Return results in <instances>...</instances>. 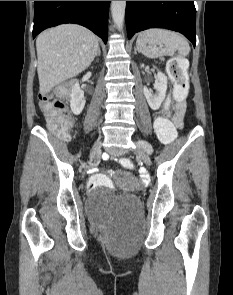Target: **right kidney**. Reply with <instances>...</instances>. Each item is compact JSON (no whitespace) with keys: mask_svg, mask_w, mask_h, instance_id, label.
<instances>
[{"mask_svg":"<svg viewBox=\"0 0 233 295\" xmlns=\"http://www.w3.org/2000/svg\"><path fill=\"white\" fill-rule=\"evenodd\" d=\"M85 103L84 92L81 90L79 83L76 82L72 86L70 93V108L73 114L79 115L82 112Z\"/></svg>","mask_w":233,"mask_h":295,"instance_id":"obj_1","label":"right kidney"}]
</instances>
